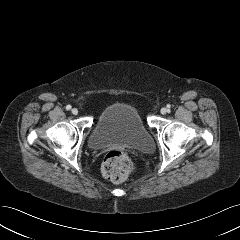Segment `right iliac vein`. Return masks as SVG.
<instances>
[{
  "instance_id": "obj_1",
  "label": "right iliac vein",
  "mask_w": 240,
  "mask_h": 240,
  "mask_svg": "<svg viewBox=\"0 0 240 240\" xmlns=\"http://www.w3.org/2000/svg\"><path fill=\"white\" fill-rule=\"evenodd\" d=\"M71 111H72L73 115H77L78 114V109L77 108H73Z\"/></svg>"
}]
</instances>
